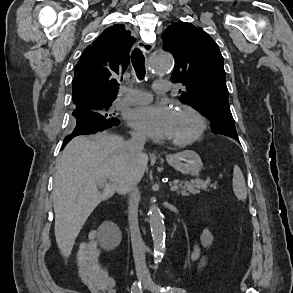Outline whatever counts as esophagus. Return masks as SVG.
<instances>
[{"instance_id": "esophagus-1", "label": "esophagus", "mask_w": 293, "mask_h": 293, "mask_svg": "<svg viewBox=\"0 0 293 293\" xmlns=\"http://www.w3.org/2000/svg\"><path fill=\"white\" fill-rule=\"evenodd\" d=\"M138 47L145 53H150L154 48V43H144L142 41L138 42Z\"/></svg>"}]
</instances>
